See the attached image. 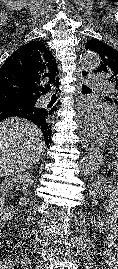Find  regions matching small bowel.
Masks as SVG:
<instances>
[{
	"instance_id": "obj_1",
	"label": "small bowel",
	"mask_w": 118,
	"mask_h": 269,
	"mask_svg": "<svg viewBox=\"0 0 118 269\" xmlns=\"http://www.w3.org/2000/svg\"><path fill=\"white\" fill-rule=\"evenodd\" d=\"M117 228H118V226H117ZM117 234H116V232H113V233H110L109 235H108V242H109V245H110V247H111V249L112 250H114V251H118V248H117Z\"/></svg>"
}]
</instances>
